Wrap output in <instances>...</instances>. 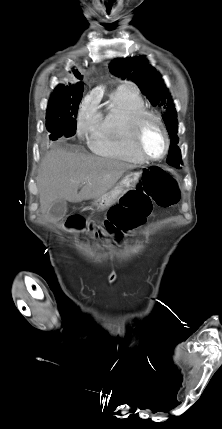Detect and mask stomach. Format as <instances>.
I'll return each instance as SVG.
<instances>
[{"label":"stomach","mask_w":222,"mask_h":429,"mask_svg":"<svg viewBox=\"0 0 222 429\" xmlns=\"http://www.w3.org/2000/svg\"><path fill=\"white\" fill-rule=\"evenodd\" d=\"M142 178V171L127 173L114 188L100 197L94 198L91 202L93 209L96 211L108 209L124 196L125 189H130L131 185H137Z\"/></svg>","instance_id":"stomach-1"}]
</instances>
